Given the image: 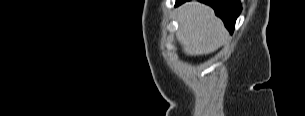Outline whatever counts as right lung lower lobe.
I'll use <instances>...</instances> for the list:
<instances>
[{
  "label": "right lung lower lobe",
  "instance_id": "obj_1",
  "mask_svg": "<svg viewBox=\"0 0 305 116\" xmlns=\"http://www.w3.org/2000/svg\"><path fill=\"white\" fill-rule=\"evenodd\" d=\"M187 0H176V6L186 2ZM210 5L215 14L220 17L230 33L234 30V25L239 16L242 6L239 0H199Z\"/></svg>",
  "mask_w": 305,
  "mask_h": 116
}]
</instances>
